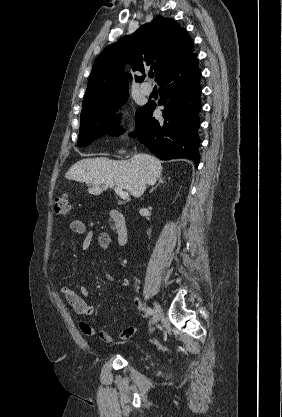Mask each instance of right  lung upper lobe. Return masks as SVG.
Wrapping results in <instances>:
<instances>
[{
    "label": "right lung upper lobe",
    "mask_w": 282,
    "mask_h": 417,
    "mask_svg": "<svg viewBox=\"0 0 282 417\" xmlns=\"http://www.w3.org/2000/svg\"><path fill=\"white\" fill-rule=\"evenodd\" d=\"M196 59L193 40L187 31L173 19L160 16L103 50L95 60L84 99L126 91L129 76L132 77L127 74L129 67L142 73L150 67L159 83L163 77ZM142 79L135 75V81Z\"/></svg>",
    "instance_id": "cb5924a9"
}]
</instances>
